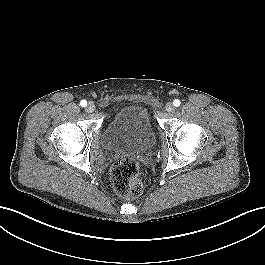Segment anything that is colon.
Segmentation results:
<instances>
[{
	"label": "colon",
	"instance_id": "1",
	"mask_svg": "<svg viewBox=\"0 0 265 265\" xmlns=\"http://www.w3.org/2000/svg\"><path fill=\"white\" fill-rule=\"evenodd\" d=\"M110 178L115 193L126 199L141 195L143 185L140 179V167L130 157L117 159L110 169Z\"/></svg>",
	"mask_w": 265,
	"mask_h": 265
}]
</instances>
